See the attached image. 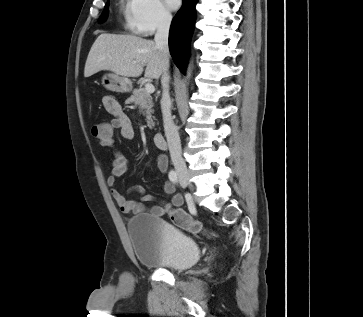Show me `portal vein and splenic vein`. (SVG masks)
<instances>
[{"label":"portal vein and splenic vein","instance_id":"18ae733b","mask_svg":"<svg viewBox=\"0 0 363 317\" xmlns=\"http://www.w3.org/2000/svg\"><path fill=\"white\" fill-rule=\"evenodd\" d=\"M145 91L148 93V94H151L155 91V87L153 86V84L151 83H146L145 84Z\"/></svg>","mask_w":363,"mask_h":317}]
</instances>
